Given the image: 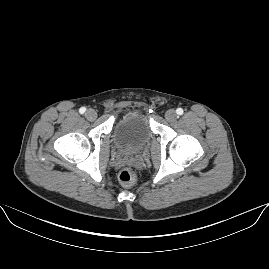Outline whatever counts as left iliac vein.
<instances>
[{
	"instance_id": "obj_1",
	"label": "left iliac vein",
	"mask_w": 269,
	"mask_h": 269,
	"mask_svg": "<svg viewBox=\"0 0 269 269\" xmlns=\"http://www.w3.org/2000/svg\"><path fill=\"white\" fill-rule=\"evenodd\" d=\"M165 118L168 122H174L177 118L175 110L170 109L165 113Z\"/></svg>"
}]
</instances>
